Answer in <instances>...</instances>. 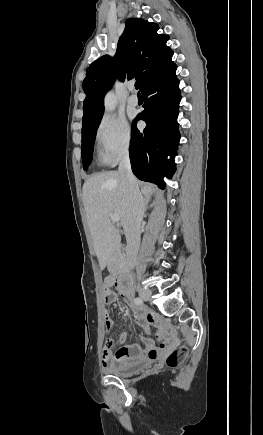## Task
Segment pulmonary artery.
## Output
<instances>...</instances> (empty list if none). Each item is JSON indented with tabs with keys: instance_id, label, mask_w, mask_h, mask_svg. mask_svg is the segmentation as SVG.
Returning <instances> with one entry per match:
<instances>
[{
	"instance_id": "obj_1",
	"label": "pulmonary artery",
	"mask_w": 263,
	"mask_h": 435,
	"mask_svg": "<svg viewBox=\"0 0 263 435\" xmlns=\"http://www.w3.org/2000/svg\"><path fill=\"white\" fill-rule=\"evenodd\" d=\"M130 90H131V95L129 96V98H128V103L130 104V105H132V106H136V105H138V98H137V96L133 93V87H131L130 88Z\"/></svg>"
}]
</instances>
